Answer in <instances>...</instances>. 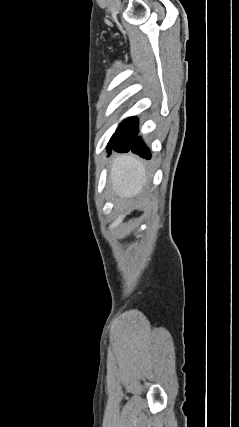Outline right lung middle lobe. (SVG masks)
<instances>
[{
    "label": "right lung middle lobe",
    "instance_id": "obj_1",
    "mask_svg": "<svg viewBox=\"0 0 239 427\" xmlns=\"http://www.w3.org/2000/svg\"><path fill=\"white\" fill-rule=\"evenodd\" d=\"M137 129L138 124L135 117L124 120L108 143L109 153H111V149L115 151L129 149L137 135Z\"/></svg>",
    "mask_w": 239,
    "mask_h": 427
}]
</instances>
